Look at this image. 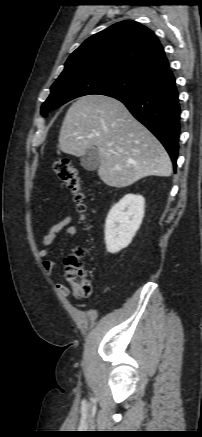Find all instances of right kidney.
I'll list each match as a JSON object with an SVG mask.
<instances>
[{
    "label": "right kidney",
    "mask_w": 202,
    "mask_h": 437,
    "mask_svg": "<svg viewBox=\"0 0 202 437\" xmlns=\"http://www.w3.org/2000/svg\"><path fill=\"white\" fill-rule=\"evenodd\" d=\"M145 199L127 194L110 210L105 224V243L109 253L126 248L139 229L144 217Z\"/></svg>",
    "instance_id": "1"
}]
</instances>
